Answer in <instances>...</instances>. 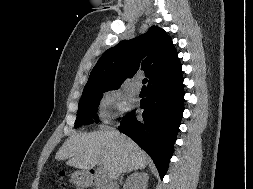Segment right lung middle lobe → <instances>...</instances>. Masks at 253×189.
I'll list each match as a JSON object with an SVG mask.
<instances>
[{"mask_svg":"<svg viewBox=\"0 0 253 189\" xmlns=\"http://www.w3.org/2000/svg\"><path fill=\"white\" fill-rule=\"evenodd\" d=\"M118 87H103L93 90L83 91L81 99L79 101V108L77 112V118L75 121V128L84 124H91L95 121H99L96 114L100 100L103 93Z\"/></svg>","mask_w":253,"mask_h":189,"instance_id":"obj_1","label":"right lung middle lobe"}]
</instances>
